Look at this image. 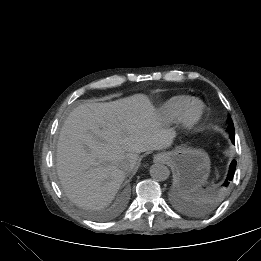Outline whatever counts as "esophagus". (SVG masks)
Returning a JSON list of instances; mask_svg holds the SVG:
<instances>
[{
  "label": "esophagus",
  "instance_id": "34e87169",
  "mask_svg": "<svg viewBox=\"0 0 261 261\" xmlns=\"http://www.w3.org/2000/svg\"><path fill=\"white\" fill-rule=\"evenodd\" d=\"M163 159H164V156L162 154H156L154 156V162H161V161H163Z\"/></svg>",
  "mask_w": 261,
  "mask_h": 261
}]
</instances>
